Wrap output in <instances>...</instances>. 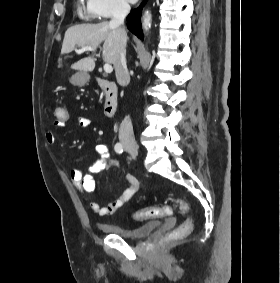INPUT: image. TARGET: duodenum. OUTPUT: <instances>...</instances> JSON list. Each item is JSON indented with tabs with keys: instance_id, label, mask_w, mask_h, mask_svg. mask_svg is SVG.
Segmentation results:
<instances>
[{
	"instance_id": "410a0bca",
	"label": "duodenum",
	"mask_w": 280,
	"mask_h": 283,
	"mask_svg": "<svg viewBox=\"0 0 280 283\" xmlns=\"http://www.w3.org/2000/svg\"><path fill=\"white\" fill-rule=\"evenodd\" d=\"M99 86L105 94L104 112L113 116L118 108V90L116 84L108 79H99Z\"/></svg>"
}]
</instances>
